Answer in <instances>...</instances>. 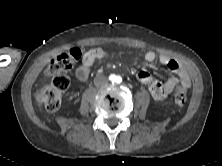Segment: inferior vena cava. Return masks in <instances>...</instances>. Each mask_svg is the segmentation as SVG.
<instances>
[{
  "mask_svg": "<svg viewBox=\"0 0 222 166\" xmlns=\"http://www.w3.org/2000/svg\"><path fill=\"white\" fill-rule=\"evenodd\" d=\"M107 82H108V79L104 75H98L94 79V84L96 86H100V85L106 84Z\"/></svg>",
  "mask_w": 222,
  "mask_h": 166,
  "instance_id": "602c4592",
  "label": "inferior vena cava"
}]
</instances>
